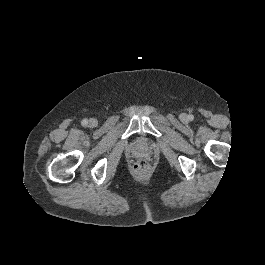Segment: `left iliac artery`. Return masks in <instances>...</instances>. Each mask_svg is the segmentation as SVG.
I'll use <instances>...</instances> for the list:
<instances>
[{
  "instance_id": "1",
  "label": "left iliac artery",
  "mask_w": 265,
  "mask_h": 265,
  "mask_svg": "<svg viewBox=\"0 0 265 265\" xmlns=\"http://www.w3.org/2000/svg\"><path fill=\"white\" fill-rule=\"evenodd\" d=\"M188 119H189L190 121H192V120L194 119V116H193V115H189V116H188Z\"/></svg>"
}]
</instances>
